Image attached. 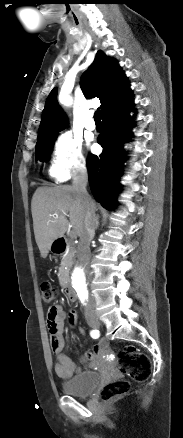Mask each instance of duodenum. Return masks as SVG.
Instances as JSON below:
<instances>
[{
    "instance_id": "1",
    "label": "duodenum",
    "mask_w": 183,
    "mask_h": 438,
    "mask_svg": "<svg viewBox=\"0 0 183 438\" xmlns=\"http://www.w3.org/2000/svg\"><path fill=\"white\" fill-rule=\"evenodd\" d=\"M55 246H56V252L57 253H64L65 250L67 249V242L65 238H59L56 242H55ZM64 291L65 294L68 298L69 301L71 302H75L77 297H76V293L74 291V289L72 288V286L66 282L64 284Z\"/></svg>"
}]
</instances>
